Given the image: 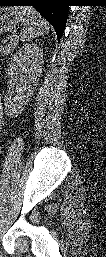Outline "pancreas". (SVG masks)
Returning <instances> with one entry per match:
<instances>
[{
  "label": "pancreas",
  "mask_w": 106,
  "mask_h": 257,
  "mask_svg": "<svg viewBox=\"0 0 106 257\" xmlns=\"http://www.w3.org/2000/svg\"><path fill=\"white\" fill-rule=\"evenodd\" d=\"M19 42L18 36H10L2 39L0 46V53L4 55H8L14 51L17 44Z\"/></svg>",
  "instance_id": "obj_1"
}]
</instances>
